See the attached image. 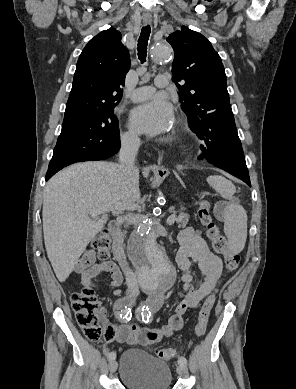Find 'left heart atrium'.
<instances>
[{
	"label": "left heart atrium",
	"instance_id": "obj_1",
	"mask_svg": "<svg viewBox=\"0 0 296 389\" xmlns=\"http://www.w3.org/2000/svg\"><path fill=\"white\" fill-rule=\"evenodd\" d=\"M172 121V105L164 97L136 106L129 115L131 128L139 134H161L171 127Z\"/></svg>",
	"mask_w": 296,
	"mask_h": 389
}]
</instances>
